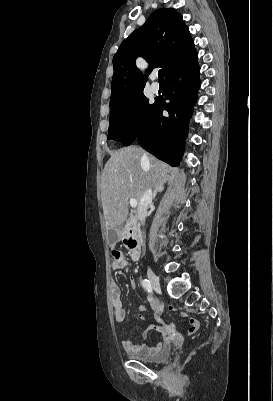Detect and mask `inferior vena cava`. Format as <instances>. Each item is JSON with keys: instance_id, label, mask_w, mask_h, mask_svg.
Segmentation results:
<instances>
[{"instance_id": "obj_1", "label": "inferior vena cava", "mask_w": 273, "mask_h": 401, "mask_svg": "<svg viewBox=\"0 0 273 401\" xmlns=\"http://www.w3.org/2000/svg\"><path fill=\"white\" fill-rule=\"evenodd\" d=\"M152 198H153L152 188H146L145 192H143V196H141V201L138 205V219L139 221H141L142 225H144V221L147 215V207L148 205H151Z\"/></svg>"}]
</instances>
